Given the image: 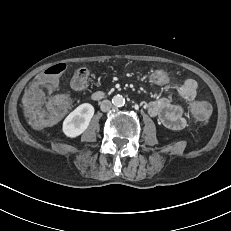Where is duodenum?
<instances>
[{
    "label": "duodenum",
    "mask_w": 231,
    "mask_h": 231,
    "mask_svg": "<svg viewBox=\"0 0 231 231\" xmlns=\"http://www.w3.org/2000/svg\"><path fill=\"white\" fill-rule=\"evenodd\" d=\"M103 97H104V94H103V92H100V91L93 94V99L94 100H100Z\"/></svg>",
    "instance_id": "410a0bca"
}]
</instances>
